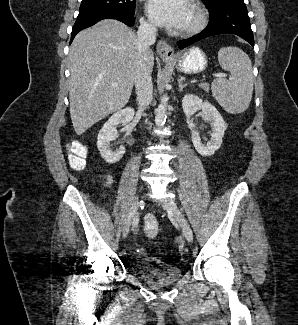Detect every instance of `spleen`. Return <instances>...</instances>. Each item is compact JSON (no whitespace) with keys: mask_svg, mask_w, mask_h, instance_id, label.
<instances>
[{"mask_svg":"<svg viewBox=\"0 0 298 325\" xmlns=\"http://www.w3.org/2000/svg\"><path fill=\"white\" fill-rule=\"evenodd\" d=\"M220 66L230 70L231 78H214L211 90L220 106L230 112L238 114L248 108L253 94L252 62L238 46H223L218 52Z\"/></svg>","mask_w":298,"mask_h":325,"instance_id":"1","label":"spleen"}]
</instances>
